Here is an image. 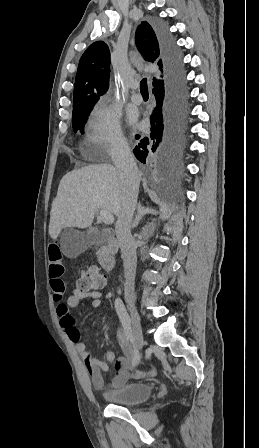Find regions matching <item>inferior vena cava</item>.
I'll return each mask as SVG.
<instances>
[{"mask_svg":"<svg viewBox=\"0 0 259 448\" xmlns=\"http://www.w3.org/2000/svg\"><path fill=\"white\" fill-rule=\"evenodd\" d=\"M112 160L120 178L123 196L122 212L118 216L115 232L124 262L125 298L127 302H130L134 296L137 266L136 244L131 236L130 228L137 204L140 174L126 140L118 142L112 154Z\"/></svg>","mask_w":259,"mask_h":448,"instance_id":"1","label":"inferior vena cava"}]
</instances>
